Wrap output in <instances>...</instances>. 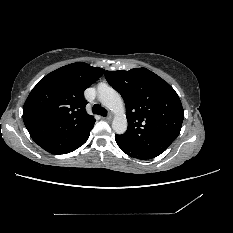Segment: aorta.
<instances>
[{"instance_id": "762f6f07", "label": "aorta", "mask_w": 233, "mask_h": 233, "mask_svg": "<svg viewBox=\"0 0 233 233\" xmlns=\"http://www.w3.org/2000/svg\"><path fill=\"white\" fill-rule=\"evenodd\" d=\"M98 97L100 102L115 114L112 121L113 130L117 134L125 133L128 124L120 94L112 87L106 84H100L98 86Z\"/></svg>"}]
</instances>
